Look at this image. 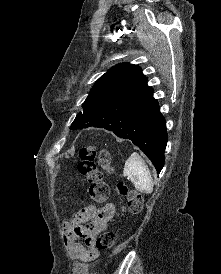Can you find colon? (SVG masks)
Masks as SVG:
<instances>
[{"label": "colon", "instance_id": "1", "mask_svg": "<svg viewBox=\"0 0 221 274\" xmlns=\"http://www.w3.org/2000/svg\"><path fill=\"white\" fill-rule=\"evenodd\" d=\"M97 159V162H96ZM111 153L106 148L97 149L95 146H86L79 152V162L77 169L85 176L90 184L87 195L95 202L105 201L110 194L109 184L105 181L101 169L109 172L111 167ZM117 191L126 198L123 210L130 214H137L142 210V196L130 190L123 182L117 183ZM116 240V235L112 231L103 232L96 240V247L99 250L111 249Z\"/></svg>", "mask_w": 221, "mask_h": 274}]
</instances>
